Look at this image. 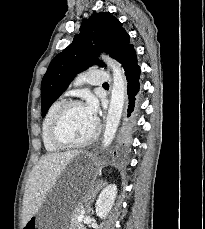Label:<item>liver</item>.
<instances>
[{"mask_svg": "<svg viewBox=\"0 0 205 229\" xmlns=\"http://www.w3.org/2000/svg\"><path fill=\"white\" fill-rule=\"evenodd\" d=\"M80 153L81 151H69L42 156L27 182L23 198V225L39 211L66 166Z\"/></svg>", "mask_w": 205, "mask_h": 229, "instance_id": "liver-1", "label": "liver"}]
</instances>
